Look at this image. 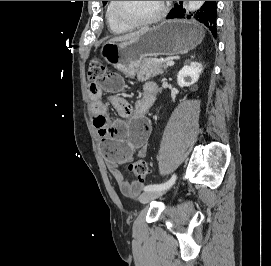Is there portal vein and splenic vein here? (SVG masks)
<instances>
[{
  "label": "portal vein and splenic vein",
  "instance_id": "1",
  "mask_svg": "<svg viewBox=\"0 0 271 266\" xmlns=\"http://www.w3.org/2000/svg\"><path fill=\"white\" fill-rule=\"evenodd\" d=\"M166 65L167 66H173L174 65V61L173 60H167L166 61Z\"/></svg>",
  "mask_w": 271,
  "mask_h": 266
}]
</instances>
